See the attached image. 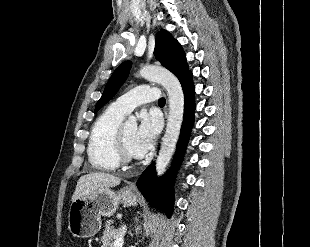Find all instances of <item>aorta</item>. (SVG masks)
I'll use <instances>...</instances> for the list:
<instances>
[{"instance_id":"aorta-1","label":"aorta","mask_w":310,"mask_h":247,"mask_svg":"<svg viewBox=\"0 0 310 247\" xmlns=\"http://www.w3.org/2000/svg\"><path fill=\"white\" fill-rule=\"evenodd\" d=\"M140 75L149 81L162 84L168 93L169 115L156 160V172L158 176H161L173 156L180 134L184 114V94L179 80L164 68L145 66L140 70ZM127 122L132 126L137 125L135 116H129Z\"/></svg>"}]
</instances>
